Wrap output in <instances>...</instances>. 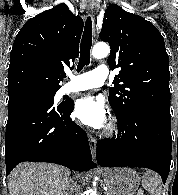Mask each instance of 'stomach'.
Here are the masks:
<instances>
[{
    "mask_svg": "<svg viewBox=\"0 0 178 195\" xmlns=\"http://www.w3.org/2000/svg\"><path fill=\"white\" fill-rule=\"evenodd\" d=\"M103 178L109 195H136L140 184L138 174L130 168L105 169Z\"/></svg>",
    "mask_w": 178,
    "mask_h": 195,
    "instance_id": "obj_1",
    "label": "stomach"
}]
</instances>
